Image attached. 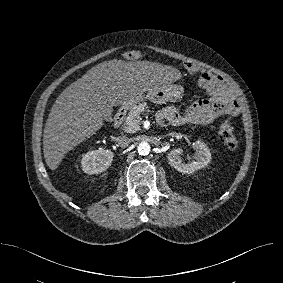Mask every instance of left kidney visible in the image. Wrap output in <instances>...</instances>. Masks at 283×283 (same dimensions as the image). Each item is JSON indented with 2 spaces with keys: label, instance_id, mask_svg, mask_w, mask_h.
<instances>
[{
  "label": "left kidney",
  "instance_id": "1",
  "mask_svg": "<svg viewBox=\"0 0 283 283\" xmlns=\"http://www.w3.org/2000/svg\"><path fill=\"white\" fill-rule=\"evenodd\" d=\"M193 148L196 151L194 156L195 160L192 162H184L181 154L183 150L178 148L170 151L168 154V161L171 166H173L177 171L190 174L198 169L207 166L211 160V153L209 148L205 143L198 140L193 143Z\"/></svg>",
  "mask_w": 283,
  "mask_h": 283
}]
</instances>
